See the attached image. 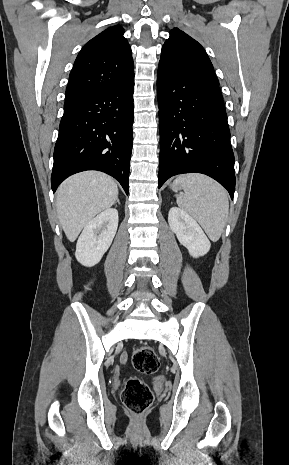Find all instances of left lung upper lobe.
<instances>
[{
    "mask_svg": "<svg viewBox=\"0 0 289 465\" xmlns=\"http://www.w3.org/2000/svg\"><path fill=\"white\" fill-rule=\"evenodd\" d=\"M158 72L172 78H187L219 85L204 48L185 32L174 28L162 47Z\"/></svg>",
    "mask_w": 289,
    "mask_h": 465,
    "instance_id": "obj_1",
    "label": "left lung upper lobe"
}]
</instances>
